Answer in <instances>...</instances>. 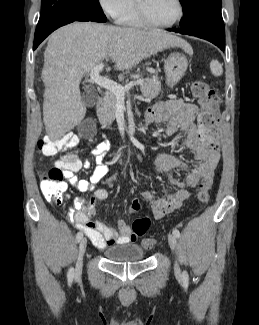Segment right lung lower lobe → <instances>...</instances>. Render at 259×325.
Returning a JSON list of instances; mask_svg holds the SVG:
<instances>
[{
  "label": "right lung lower lobe",
  "mask_w": 259,
  "mask_h": 325,
  "mask_svg": "<svg viewBox=\"0 0 259 325\" xmlns=\"http://www.w3.org/2000/svg\"><path fill=\"white\" fill-rule=\"evenodd\" d=\"M74 21H80V20L72 17L58 18L50 22L49 24H47L42 30L35 32L33 50H35L38 47V45L54 30Z\"/></svg>",
  "instance_id": "obj_1"
}]
</instances>
